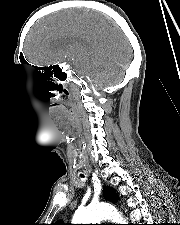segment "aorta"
I'll list each match as a JSON object with an SVG mask.
<instances>
[{
  "mask_svg": "<svg viewBox=\"0 0 180 225\" xmlns=\"http://www.w3.org/2000/svg\"><path fill=\"white\" fill-rule=\"evenodd\" d=\"M110 219L116 224H126L121 214L109 204L89 205L76 210L73 224H98L103 220Z\"/></svg>",
  "mask_w": 180,
  "mask_h": 225,
  "instance_id": "762f6f07",
  "label": "aorta"
}]
</instances>
